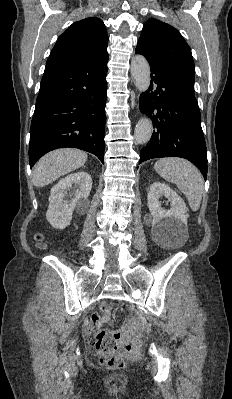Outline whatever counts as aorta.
Here are the masks:
<instances>
[{
    "label": "aorta",
    "mask_w": 232,
    "mask_h": 399,
    "mask_svg": "<svg viewBox=\"0 0 232 399\" xmlns=\"http://www.w3.org/2000/svg\"><path fill=\"white\" fill-rule=\"evenodd\" d=\"M131 75L139 91L145 92L150 86V66L146 58L136 55L131 61ZM153 132L152 122L149 118H141L136 124L134 138L137 144H145Z\"/></svg>",
    "instance_id": "aorta-1"
}]
</instances>
